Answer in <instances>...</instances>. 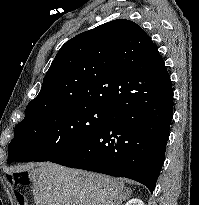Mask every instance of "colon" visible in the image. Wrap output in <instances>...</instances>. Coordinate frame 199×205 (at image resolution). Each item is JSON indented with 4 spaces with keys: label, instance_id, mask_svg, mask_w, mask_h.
I'll return each instance as SVG.
<instances>
[{
    "label": "colon",
    "instance_id": "5ec220e1",
    "mask_svg": "<svg viewBox=\"0 0 199 205\" xmlns=\"http://www.w3.org/2000/svg\"><path fill=\"white\" fill-rule=\"evenodd\" d=\"M10 183L14 188V193L21 205H26L23 187L29 183V177L25 173H14L9 176Z\"/></svg>",
    "mask_w": 199,
    "mask_h": 205
}]
</instances>
